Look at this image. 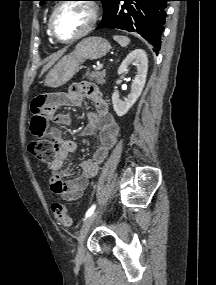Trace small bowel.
I'll use <instances>...</instances> for the list:
<instances>
[{
  "mask_svg": "<svg viewBox=\"0 0 216 285\" xmlns=\"http://www.w3.org/2000/svg\"><path fill=\"white\" fill-rule=\"evenodd\" d=\"M90 100L95 111L86 114L87 123L81 134L97 138L95 151L91 158L80 163L81 175L76 179H68L70 171L65 167L69 154L77 150V143L65 139L59 128L48 127V119L52 116V110L60 107H83L85 100ZM31 131L33 136H40V141L53 144L55 149L54 159L48 163L50 171V188L55 194L61 195L65 200L79 198L86 189L89 179L93 178L98 167L107 158L110 149L114 146L119 126L109 111L99 88L89 82L73 84L66 92L54 94L48 98H37L32 102ZM54 121L58 126H66L71 122L68 113L54 115Z\"/></svg>",
  "mask_w": 216,
  "mask_h": 285,
  "instance_id": "small-bowel-1",
  "label": "small bowel"
}]
</instances>
